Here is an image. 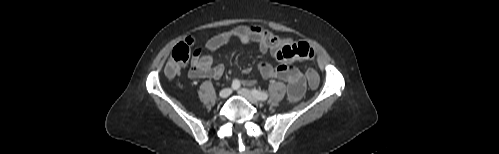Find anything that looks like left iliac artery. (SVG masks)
I'll return each mask as SVG.
<instances>
[{"label":"left iliac artery","mask_w":499,"mask_h":154,"mask_svg":"<svg viewBox=\"0 0 499 154\" xmlns=\"http://www.w3.org/2000/svg\"><path fill=\"white\" fill-rule=\"evenodd\" d=\"M252 93L259 100L265 101L268 99V94L266 92L253 89Z\"/></svg>","instance_id":"left-iliac-artery-1"}]
</instances>
